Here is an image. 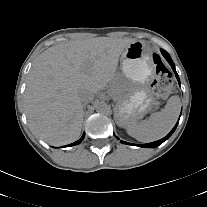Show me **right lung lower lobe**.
<instances>
[{"label":"right lung lower lobe","instance_id":"98d812e1","mask_svg":"<svg viewBox=\"0 0 207 207\" xmlns=\"http://www.w3.org/2000/svg\"><path fill=\"white\" fill-rule=\"evenodd\" d=\"M84 137H85V133L83 134V136L81 137L80 140L74 142L73 144L67 145V146H73V145H77V144L81 143V141L84 139Z\"/></svg>","mask_w":207,"mask_h":207}]
</instances>
